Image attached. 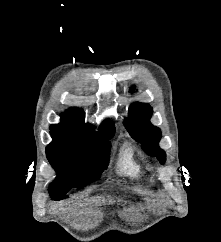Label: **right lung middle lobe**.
I'll return each mask as SVG.
<instances>
[{
	"label": "right lung middle lobe",
	"instance_id": "right-lung-middle-lobe-1",
	"mask_svg": "<svg viewBox=\"0 0 221 242\" xmlns=\"http://www.w3.org/2000/svg\"><path fill=\"white\" fill-rule=\"evenodd\" d=\"M53 141L46 147L47 158L57 172L49 188L56 200L66 198L72 187H83L97 180L107 168L113 137L86 138L69 132H52Z\"/></svg>",
	"mask_w": 221,
	"mask_h": 242
}]
</instances>
